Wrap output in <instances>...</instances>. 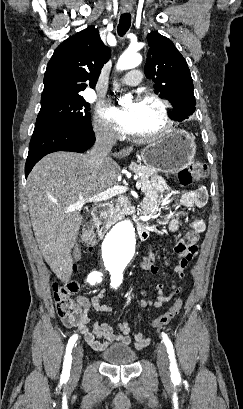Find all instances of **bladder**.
Instances as JSON below:
<instances>
[{
	"instance_id": "1",
	"label": "bladder",
	"mask_w": 243,
	"mask_h": 409,
	"mask_svg": "<svg viewBox=\"0 0 243 409\" xmlns=\"http://www.w3.org/2000/svg\"><path fill=\"white\" fill-rule=\"evenodd\" d=\"M102 358L110 365H130L137 359V353L127 345L116 344L105 349Z\"/></svg>"
}]
</instances>
